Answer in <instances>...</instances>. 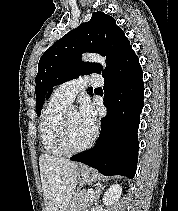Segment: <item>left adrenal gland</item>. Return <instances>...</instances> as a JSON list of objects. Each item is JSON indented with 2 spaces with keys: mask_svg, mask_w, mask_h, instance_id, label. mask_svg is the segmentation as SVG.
<instances>
[{
  "mask_svg": "<svg viewBox=\"0 0 178 211\" xmlns=\"http://www.w3.org/2000/svg\"><path fill=\"white\" fill-rule=\"evenodd\" d=\"M104 187L105 186H103L102 184H98L97 186H96V190H95V202H97L98 201V199H99V197H100V195H101V193H102V190L104 189Z\"/></svg>",
  "mask_w": 178,
  "mask_h": 211,
  "instance_id": "1",
  "label": "left adrenal gland"
}]
</instances>
